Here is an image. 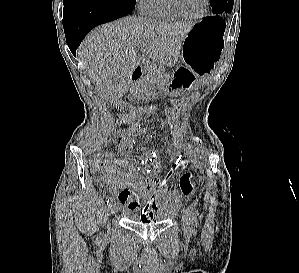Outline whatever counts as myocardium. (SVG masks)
Segmentation results:
<instances>
[{"mask_svg":"<svg viewBox=\"0 0 299 273\" xmlns=\"http://www.w3.org/2000/svg\"><path fill=\"white\" fill-rule=\"evenodd\" d=\"M169 1L176 12H178L181 16L188 18V19L202 18L205 15V13L207 12L209 3H210V0H205L204 8L202 9V11L196 15H191V14L186 13L183 10V8L181 7V5L179 3V0H169Z\"/></svg>","mask_w":299,"mask_h":273,"instance_id":"f54148a6","label":"myocardium"}]
</instances>
